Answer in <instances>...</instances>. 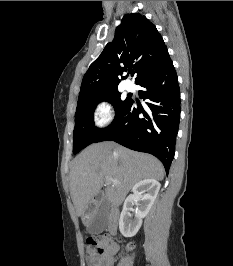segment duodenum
Listing matches in <instances>:
<instances>
[{"label":"duodenum","instance_id":"1","mask_svg":"<svg viewBox=\"0 0 233 266\" xmlns=\"http://www.w3.org/2000/svg\"><path fill=\"white\" fill-rule=\"evenodd\" d=\"M117 224H118V214L117 209L113 207L111 209L110 217H109V224L108 230L111 234H115L117 231Z\"/></svg>","mask_w":233,"mask_h":266}]
</instances>
